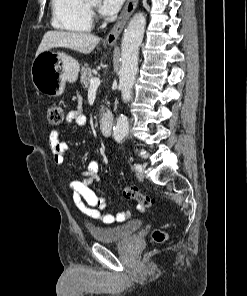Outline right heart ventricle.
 I'll return each mask as SVG.
<instances>
[{
	"label": "right heart ventricle",
	"instance_id": "obj_1",
	"mask_svg": "<svg viewBox=\"0 0 247 296\" xmlns=\"http://www.w3.org/2000/svg\"><path fill=\"white\" fill-rule=\"evenodd\" d=\"M51 9V24L55 29L77 33L92 29L86 0H51Z\"/></svg>",
	"mask_w": 247,
	"mask_h": 296
}]
</instances>
